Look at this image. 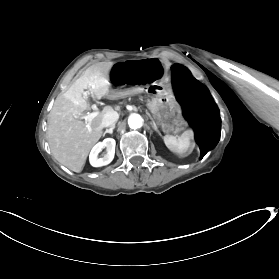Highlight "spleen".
<instances>
[{"label":"spleen","instance_id":"obj_1","mask_svg":"<svg viewBox=\"0 0 279 279\" xmlns=\"http://www.w3.org/2000/svg\"><path fill=\"white\" fill-rule=\"evenodd\" d=\"M192 136H193L192 132L187 130L183 132L182 135L179 137H175L172 135H165L163 139L166 147L170 151L178 154H184L192 150L191 147Z\"/></svg>","mask_w":279,"mask_h":279}]
</instances>
